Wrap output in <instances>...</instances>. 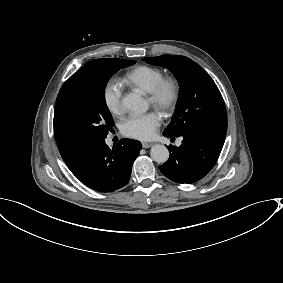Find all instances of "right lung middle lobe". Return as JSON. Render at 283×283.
I'll use <instances>...</instances> for the list:
<instances>
[{
	"mask_svg": "<svg viewBox=\"0 0 283 283\" xmlns=\"http://www.w3.org/2000/svg\"><path fill=\"white\" fill-rule=\"evenodd\" d=\"M135 61L96 59L62 86L55 103L54 134L82 145L105 139L114 121L105 101L108 80Z\"/></svg>",
	"mask_w": 283,
	"mask_h": 283,
	"instance_id": "1",
	"label": "right lung middle lobe"
}]
</instances>
